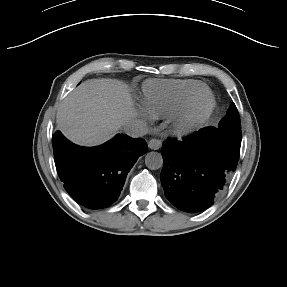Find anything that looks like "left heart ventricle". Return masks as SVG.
Wrapping results in <instances>:
<instances>
[{"mask_svg": "<svg viewBox=\"0 0 287 287\" xmlns=\"http://www.w3.org/2000/svg\"><path fill=\"white\" fill-rule=\"evenodd\" d=\"M204 104H205V101H201L199 104H198V108H201V107H203L204 106Z\"/></svg>", "mask_w": 287, "mask_h": 287, "instance_id": "b2bd125f", "label": "left heart ventricle"}]
</instances>
